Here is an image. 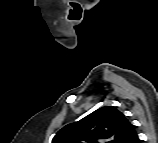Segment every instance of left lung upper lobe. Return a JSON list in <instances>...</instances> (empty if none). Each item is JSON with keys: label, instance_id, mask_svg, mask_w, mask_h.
Instances as JSON below:
<instances>
[{"label": "left lung upper lobe", "instance_id": "obj_1", "mask_svg": "<svg viewBox=\"0 0 158 143\" xmlns=\"http://www.w3.org/2000/svg\"><path fill=\"white\" fill-rule=\"evenodd\" d=\"M138 143L134 126L116 107L105 106L66 125L52 143Z\"/></svg>", "mask_w": 158, "mask_h": 143}]
</instances>
